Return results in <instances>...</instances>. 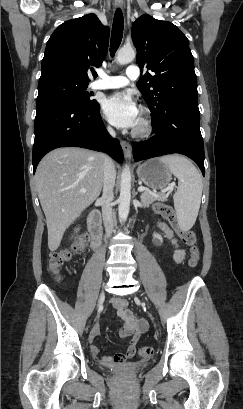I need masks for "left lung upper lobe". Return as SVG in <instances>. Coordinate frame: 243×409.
Wrapping results in <instances>:
<instances>
[{"instance_id": "obj_1", "label": "left lung upper lobe", "mask_w": 243, "mask_h": 409, "mask_svg": "<svg viewBox=\"0 0 243 409\" xmlns=\"http://www.w3.org/2000/svg\"><path fill=\"white\" fill-rule=\"evenodd\" d=\"M131 34L141 71H152L137 83L151 113H156L169 98L197 92L189 41L174 24L144 14L134 22Z\"/></svg>"}]
</instances>
